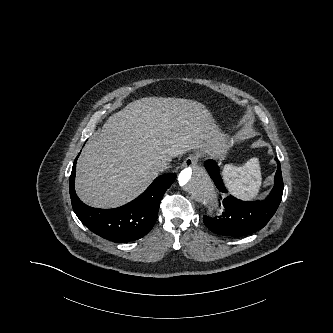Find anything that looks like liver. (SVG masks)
<instances>
[{
	"label": "liver",
	"instance_id": "liver-1",
	"mask_svg": "<svg viewBox=\"0 0 333 333\" xmlns=\"http://www.w3.org/2000/svg\"><path fill=\"white\" fill-rule=\"evenodd\" d=\"M216 135L211 112L199 102L135 100L110 116L83 148L76 165V193L93 207L122 206L158 176V162L210 147Z\"/></svg>",
	"mask_w": 333,
	"mask_h": 333
}]
</instances>
